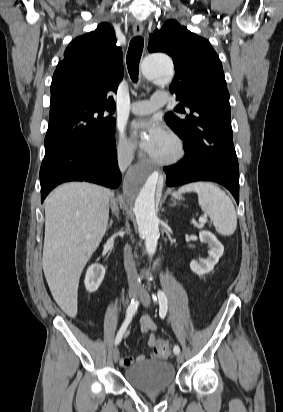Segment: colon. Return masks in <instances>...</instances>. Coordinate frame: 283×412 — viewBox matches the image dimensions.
I'll list each match as a JSON object with an SVG mask.
<instances>
[{
    "label": "colon",
    "instance_id": "colon-1",
    "mask_svg": "<svg viewBox=\"0 0 283 412\" xmlns=\"http://www.w3.org/2000/svg\"><path fill=\"white\" fill-rule=\"evenodd\" d=\"M155 353L160 358L168 357L172 350V344L168 340L159 339L154 344Z\"/></svg>",
    "mask_w": 283,
    "mask_h": 412
}]
</instances>
